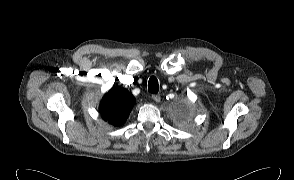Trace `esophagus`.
Returning a JSON list of instances; mask_svg holds the SVG:
<instances>
[{"label": "esophagus", "instance_id": "1", "mask_svg": "<svg viewBox=\"0 0 294 180\" xmlns=\"http://www.w3.org/2000/svg\"><path fill=\"white\" fill-rule=\"evenodd\" d=\"M152 99L155 101V102H160L161 101V96L159 94H153L152 95Z\"/></svg>", "mask_w": 294, "mask_h": 180}]
</instances>
